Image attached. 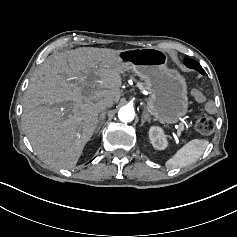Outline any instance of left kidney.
<instances>
[{"instance_id":"obj_1","label":"left kidney","mask_w":237,"mask_h":237,"mask_svg":"<svg viewBox=\"0 0 237 237\" xmlns=\"http://www.w3.org/2000/svg\"><path fill=\"white\" fill-rule=\"evenodd\" d=\"M149 138L155 149L162 150L166 147L165 135L158 127H152L149 131Z\"/></svg>"}]
</instances>
